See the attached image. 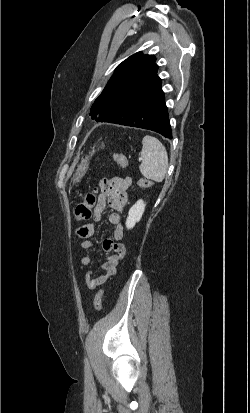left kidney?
I'll return each instance as SVG.
<instances>
[{"label": "left kidney", "mask_w": 250, "mask_h": 413, "mask_svg": "<svg viewBox=\"0 0 250 413\" xmlns=\"http://www.w3.org/2000/svg\"><path fill=\"white\" fill-rule=\"evenodd\" d=\"M146 204L143 200H138L129 210L128 217L126 219L127 229H132L137 222L140 221L144 213Z\"/></svg>", "instance_id": "obj_1"}]
</instances>
